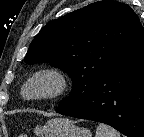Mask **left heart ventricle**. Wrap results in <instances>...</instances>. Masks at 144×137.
<instances>
[{
  "mask_svg": "<svg viewBox=\"0 0 144 137\" xmlns=\"http://www.w3.org/2000/svg\"><path fill=\"white\" fill-rule=\"evenodd\" d=\"M52 87H53V83L51 80L39 79L28 87L26 93L28 95L42 94L51 90Z\"/></svg>",
  "mask_w": 144,
  "mask_h": 137,
  "instance_id": "b2bd125f",
  "label": "left heart ventricle"
}]
</instances>
